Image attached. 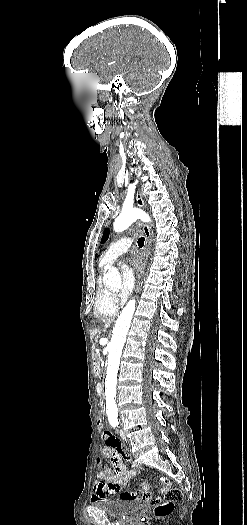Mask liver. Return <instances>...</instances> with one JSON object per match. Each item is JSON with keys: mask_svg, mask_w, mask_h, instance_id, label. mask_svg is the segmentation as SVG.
<instances>
[{"mask_svg": "<svg viewBox=\"0 0 247 525\" xmlns=\"http://www.w3.org/2000/svg\"><path fill=\"white\" fill-rule=\"evenodd\" d=\"M110 323H112V321H106V323H105V329H108V327H110Z\"/></svg>", "mask_w": 247, "mask_h": 525, "instance_id": "1", "label": "liver"}]
</instances>
